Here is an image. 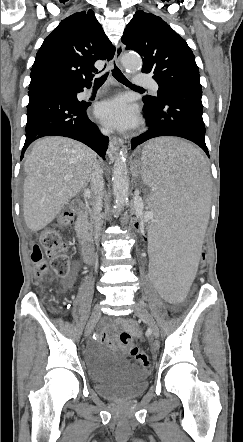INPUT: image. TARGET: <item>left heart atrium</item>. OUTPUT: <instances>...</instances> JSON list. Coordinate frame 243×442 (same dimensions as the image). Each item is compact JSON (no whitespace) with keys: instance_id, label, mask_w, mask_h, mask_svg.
<instances>
[{"instance_id":"39dd6f15","label":"left heart atrium","mask_w":243,"mask_h":442,"mask_svg":"<svg viewBox=\"0 0 243 442\" xmlns=\"http://www.w3.org/2000/svg\"><path fill=\"white\" fill-rule=\"evenodd\" d=\"M96 116L106 126L125 130L134 127L139 119L137 107L124 96H117L98 104Z\"/></svg>"}]
</instances>
